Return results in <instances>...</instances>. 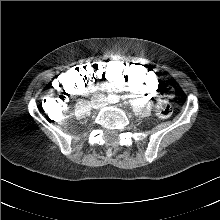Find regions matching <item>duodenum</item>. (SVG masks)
Returning a JSON list of instances; mask_svg holds the SVG:
<instances>
[{"label": "duodenum", "instance_id": "1", "mask_svg": "<svg viewBox=\"0 0 220 220\" xmlns=\"http://www.w3.org/2000/svg\"><path fill=\"white\" fill-rule=\"evenodd\" d=\"M84 90L86 92H96L99 90H106V89L103 86H89V85H87V87L84 88Z\"/></svg>", "mask_w": 220, "mask_h": 220}]
</instances>
